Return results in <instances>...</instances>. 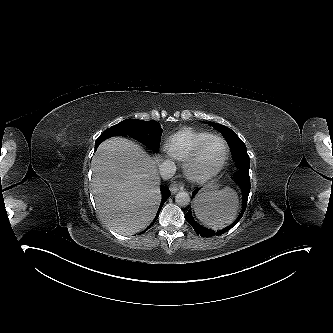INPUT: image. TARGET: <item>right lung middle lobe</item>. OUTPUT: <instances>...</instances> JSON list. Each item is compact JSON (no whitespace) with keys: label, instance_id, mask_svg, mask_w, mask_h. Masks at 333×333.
Segmentation results:
<instances>
[{"label":"right lung middle lobe","instance_id":"1","mask_svg":"<svg viewBox=\"0 0 333 333\" xmlns=\"http://www.w3.org/2000/svg\"><path fill=\"white\" fill-rule=\"evenodd\" d=\"M105 131L117 136H129L154 152H158L163 130L156 121L126 119Z\"/></svg>","mask_w":333,"mask_h":333}]
</instances>
